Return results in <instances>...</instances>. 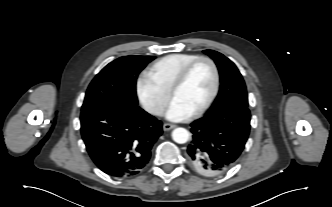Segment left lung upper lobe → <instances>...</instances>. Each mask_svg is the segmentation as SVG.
I'll list each match as a JSON object with an SVG mask.
<instances>
[{
    "mask_svg": "<svg viewBox=\"0 0 332 207\" xmlns=\"http://www.w3.org/2000/svg\"><path fill=\"white\" fill-rule=\"evenodd\" d=\"M204 53L215 61L221 82L218 96L207 114L230 106L248 107L246 86L235 64L219 52L204 50Z\"/></svg>",
    "mask_w": 332,
    "mask_h": 207,
    "instance_id": "left-lung-upper-lobe-1",
    "label": "left lung upper lobe"
}]
</instances>
